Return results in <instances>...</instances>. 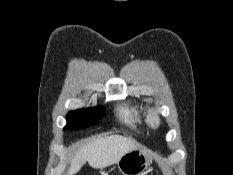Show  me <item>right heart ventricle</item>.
<instances>
[{"instance_id": "obj_1", "label": "right heart ventricle", "mask_w": 233, "mask_h": 175, "mask_svg": "<svg viewBox=\"0 0 233 175\" xmlns=\"http://www.w3.org/2000/svg\"><path fill=\"white\" fill-rule=\"evenodd\" d=\"M117 115L122 122L132 128L142 126L146 122L144 111L138 104L131 101L119 105Z\"/></svg>"}]
</instances>
